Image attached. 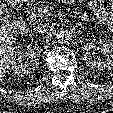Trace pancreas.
I'll return each instance as SVG.
<instances>
[{
  "mask_svg": "<svg viewBox=\"0 0 113 113\" xmlns=\"http://www.w3.org/2000/svg\"><path fill=\"white\" fill-rule=\"evenodd\" d=\"M45 10H48L45 12ZM49 7L45 1H38L29 11V17L33 23H41L49 19Z\"/></svg>",
  "mask_w": 113,
  "mask_h": 113,
  "instance_id": "obj_1",
  "label": "pancreas"
}]
</instances>
